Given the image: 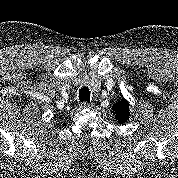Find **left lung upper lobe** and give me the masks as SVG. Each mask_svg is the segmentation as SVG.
<instances>
[{"label":"left lung upper lobe","mask_w":178,"mask_h":178,"mask_svg":"<svg viewBox=\"0 0 178 178\" xmlns=\"http://www.w3.org/2000/svg\"><path fill=\"white\" fill-rule=\"evenodd\" d=\"M113 112L116 121L119 124L126 122L129 119V104L126 100L122 99L113 106Z\"/></svg>","instance_id":"obj_1"}]
</instances>
